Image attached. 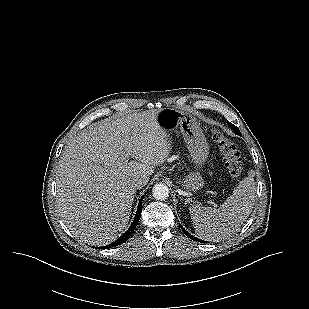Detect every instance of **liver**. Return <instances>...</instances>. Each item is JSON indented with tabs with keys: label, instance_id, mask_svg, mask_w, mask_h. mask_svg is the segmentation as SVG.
<instances>
[{
	"label": "liver",
	"instance_id": "liver-1",
	"mask_svg": "<svg viewBox=\"0 0 309 309\" xmlns=\"http://www.w3.org/2000/svg\"><path fill=\"white\" fill-rule=\"evenodd\" d=\"M156 111L102 121L65 146L56 171L57 208L82 242L104 246L129 222L136 177L149 176L170 154L168 134ZM130 158L135 161H129Z\"/></svg>",
	"mask_w": 309,
	"mask_h": 309
}]
</instances>
